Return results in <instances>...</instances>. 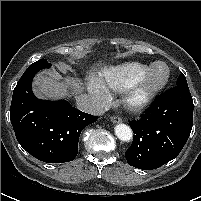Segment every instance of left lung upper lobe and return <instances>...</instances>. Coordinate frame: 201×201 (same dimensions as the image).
Returning <instances> with one entry per match:
<instances>
[{
	"label": "left lung upper lobe",
	"mask_w": 201,
	"mask_h": 201,
	"mask_svg": "<svg viewBox=\"0 0 201 201\" xmlns=\"http://www.w3.org/2000/svg\"><path fill=\"white\" fill-rule=\"evenodd\" d=\"M177 85L187 86V81L183 73L180 74L177 80Z\"/></svg>",
	"instance_id": "left-lung-upper-lobe-1"
}]
</instances>
